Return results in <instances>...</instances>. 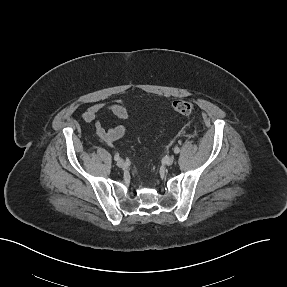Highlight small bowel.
<instances>
[{
    "mask_svg": "<svg viewBox=\"0 0 287 287\" xmlns=\"http://www.w3.org/2000/svg\"><path fill=\"white\" fill-rule=\"evenodd\" d=\"M102 110L112 113L124 120L128 119L129 111L121 100H117L113 103L102 101L94 103L81 115L83 121L94 123L96 134L101 142L113 144L126 135L127 127L123 124L108 128L104 127L98 120V115Z\"/></svg>",
    "mask_w": 287,
    "mask_h": 287,
    "instance_id": "c3829d8e",
    "label": "small bowel"
}]
</instances>
